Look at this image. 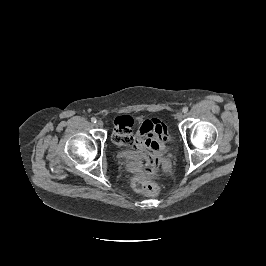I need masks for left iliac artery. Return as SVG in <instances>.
Returning <instances> with one entry per match:
<instances>
[{"mask_svg":"<svg viewBox=\"0 0 266 266\" xmlns=\"http://www.w3.org/2000/svg\"><path fill=\"white\" fill-rule=\"evenodd\" d=\"M182 112H183V113H187V112H188V108H187V107H184V108L182 109Z\"/></svg>","mask_w":266,"mask_h":266,"instance_id":"left-iliac-artery-1","label":"left iliac artery"}]
</instances>
